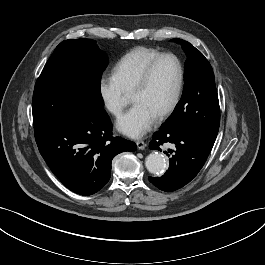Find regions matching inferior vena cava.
Returning a JSON list of instances; mask_svg holds the SVG:
<instances>
[{
  "label": "inferior vena cava",
  "instance_id": "inferior-vena-cava-1",
  "mask_svg": "<svg viewBox=\"0 0 265 265\" xmlns=\"http://www.w3.org/2000/svg\"><path fill=\"white\" fill-rule=\"evenodd\" d=\"M116 110H117V108H115V107L112 108V111H116Z\"/></svg>",
  "mask_w": 265,
  "mask_h": 265
}]
</instances>
